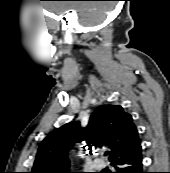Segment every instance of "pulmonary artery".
<instances>
[{"label": "pulmonary artery", "instance_id": "obj_1", "mask_svg": "<svg viewBox=\"0 0 170 173\" xmlns=\"http://www.w3.org/2000/svg\"><path fill=\"white\" fill-rule=\"evenodd\" d=\"M94 165L97 169H101L104 165V163L101 160H95Z\"/></svg>", "mask_w": 170, "mask_h": 173}]
</instances>
